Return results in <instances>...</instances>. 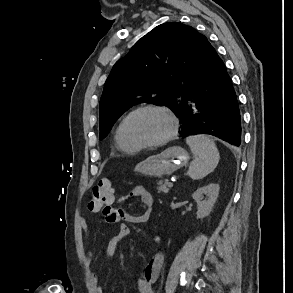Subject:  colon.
<instances>
[{"label":"colon","mask_w":293,"mask_h":293,"mask_svg":"<svg viewBox=\"0 0 293 293\" xmlns=\"http://www.w3.org/2000/svg\"><path fill=\"white\" fill-rule=\"evenodd\" d=\"M113 197L114 188L112 178H103L93 187L88 208L94 212L104 211L112 204Z\"/></svg>","instance_id":"5ec220e1"}]
</instances>
